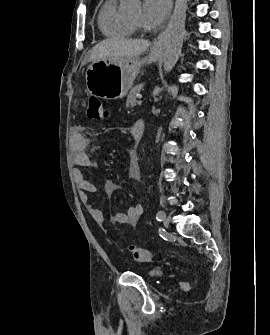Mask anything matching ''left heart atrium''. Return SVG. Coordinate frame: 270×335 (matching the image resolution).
<instances>
[{
	"instance_id": "39dd6f15",
	"label": "left heart atrium",
	"mask_w": 270,
	"mask_h": 335,
	"mask_svg": "<svg viewBox=\"0 0 270 335\" xmlns=\"http://www.w3.org/2000/svg\"><path fill=\"white\" fill-rule=\"evenodd\" d=\"M169 12L168 0H146L140 25L148 37L156 34L162 27Z\"/></svg>"
}]
</instances>
